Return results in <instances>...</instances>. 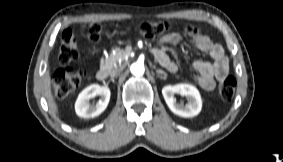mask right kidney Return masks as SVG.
Instances as JSON below:
<instances>
[{"mask_svg": "<svg viewBox=\"0 0 283 162\" xmlns=\"http://www.w3.org/2000/svg\"><path fill=\"white\" fill-rule=\"evenodd\" d=\"M100 95L101 98L96 105L90 104V99ZM110 89L92 84L86 87L78 96L75 103V111L79 117L93 118L100 115L107 107L110 100Z\"/></svg>", "mask_w": 283, "mask_h": 162, "instance_id": "ca27d5eb", "label": "right kidney"}]
</instances>
